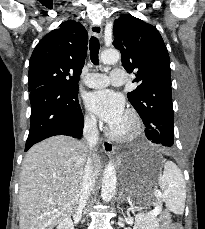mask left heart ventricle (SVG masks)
I'll use <instances>...</instances> for the list:
<instances>
[{
    "mask_svg": "<svg viewBox=\"0 0 205 229\" xmlns=\"http://www.w3.org/2000/svg\"><path fill=\"white\" fill-rule=\"evenodd\" d=\"M128 127H129V120L125 115L117 124L112 126L114 130L119 131V132L126 131Z\"/></svg>",
    "mask_w": 205,
    "mask_h": 229,
    "instance_id": "1",
    "label": "left heart ventricle"
}]
</instances>
